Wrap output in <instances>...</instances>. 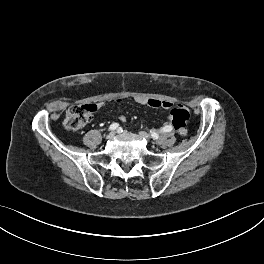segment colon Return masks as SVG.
Returning a JSON list of instances; mask_svg holds the SVG:
<instances>
[{
    "label": "colon",
    "mask_w": 264,
    "mask_h": 264,
    "mask_svg": "<svg viewBox=\"0 0 264 264\" xmlns=\"http://www.w3.org/2000/svg\"><path fill=\"white\" fill-rule=\"evenodd\" d=\"M96 110L97 107L94 104H80L70 107L64 119L65 128L72 131L81 129L90 121ZM167 120L180 135L186 134L189 112L185 107L179 105L173 108L169 112Z\"/></svg>",
    "instance_id": "1"
}]
</instances>
